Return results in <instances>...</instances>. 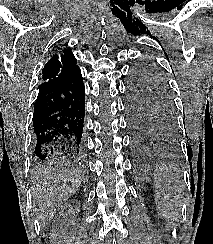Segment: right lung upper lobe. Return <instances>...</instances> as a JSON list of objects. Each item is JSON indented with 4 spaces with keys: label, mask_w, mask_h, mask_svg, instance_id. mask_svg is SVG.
<instances>
[{
    "label": "right lung upper lobe",
    "mask_w": 213,
    "mask_h": 244,
    "mask_svg": "<svg viewBox=\"0 0 213 244\" xmlns=\"http://www.w3.org/2000/svg\"><path fill=\"white\" fill-rule=\"evenodd\" d=\"M76 63L72 51L69 48L63 49L45 64L42 71L43 83H53L69 76L79 68Z\"/></svg>",
    "instance_id": "1"
}]
</instances>
